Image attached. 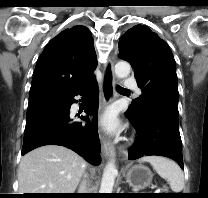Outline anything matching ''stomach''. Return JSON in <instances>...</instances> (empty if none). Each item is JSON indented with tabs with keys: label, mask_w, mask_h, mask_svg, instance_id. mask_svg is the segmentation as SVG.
Masks as SVG:
<instances>
[{
	"label": "stomach",
	"mask_w": 208,
	"mask_h": 198,
	"mask_svg": "<svg viewBox=\"0 0 208 198\" xmlns=\"http://www.w3.org/2000/svg\"><path fill=\"white\" fill-rule=\"evenodd\" d=\"M153 174L149 168L138 164L132 166L126 174V181L135 189H145L152 182Z\"/></svg>",
	"instance_id": "0dacf381"
}]
</instances>
